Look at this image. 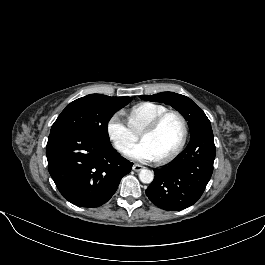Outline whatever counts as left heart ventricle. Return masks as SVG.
I'll use <instances>...</instances> for the list:
<instances>
[{
	"mask_svg": "<svg viewBox=\"0 0 265 265\" xmlns=\"http://www.w3.org/2000/svg\"><path fill=\"white\" fill-rule=\"evenodd\" d=\"M182 135L181 120L171 115L154 132L142 134L141 139L148 144L157 158L173 150L179 144Z\"/></svg>",
	"mask_w": 265,
	"mask_h": 265,
	"instance_id": "1",
	"label": "left heart ventricle"
}]
</instances>
